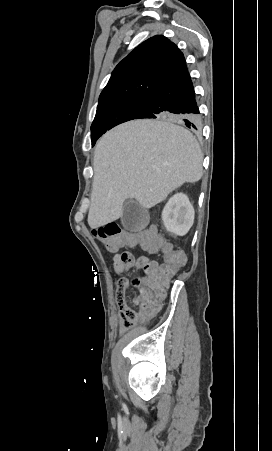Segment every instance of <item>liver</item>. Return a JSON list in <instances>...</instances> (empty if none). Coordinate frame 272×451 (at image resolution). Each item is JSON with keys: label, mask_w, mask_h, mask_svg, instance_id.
<instances>
[{"label": "liver", "mask_w": 272, "mask_h": 451, "mask_svg": "<svg viewBox=\"0 0 272 451\" xmlns=\"http://www.w3.org/2000/svg\"><path fill=\"white\" fill-rule=\"evenodd\" d=\"M202 162L197 140L173 116L116 126L95 146L89 226L118 220L132 198L153 208L185 182L201 180Z\"/></svg>", "instance_id": "6515ba94"}]
</instances>
